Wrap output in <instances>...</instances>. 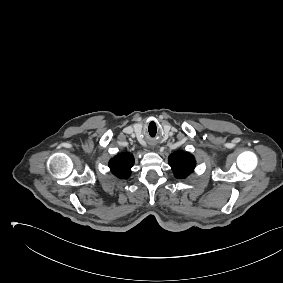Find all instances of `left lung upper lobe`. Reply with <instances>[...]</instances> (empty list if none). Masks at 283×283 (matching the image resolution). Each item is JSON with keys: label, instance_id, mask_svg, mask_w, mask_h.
<instances>
[{"label": "left lung upper lobe", "instance_id": "left-lung-upper-lobe-1", "mask_svg": "<svg viewBox=\"0 0 283 283\" xmlns=\"http://www.w3.org/2000/svg\"><path fill=\"white\" fill-rule=\"evenodd\" d=\"M168 163L174 175L179 179L186 178L196 166L194 156L182 150L172 153L168 158Z\"/></svg>", "mask_w": 283, "mask_h": 283}]
</instances>
